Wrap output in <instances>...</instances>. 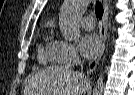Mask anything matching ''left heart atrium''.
<instances>
[{
    "mask_svg": "<svg viewBox=\"0 0 135 95\" xmlns=\"http://www.w3.org/2000/svg\"><path fill=\"white\" fill-rule=\"evenodd\" d=\"M79 47L85 58H91L99 52L101 40L95 34H85L80 39Z\"/></svg>",
    "mask_w": 135,
    "mask_h": 95,
    "instance_id": "left-heart-atrium-1",
    "label": "left heart atrium"
}]
</instances>
